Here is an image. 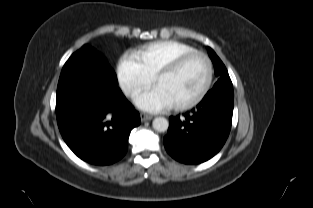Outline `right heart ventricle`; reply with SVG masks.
<instances>
[{
    "label": "right heart ventricle",
    "mask_w": 313,
    "mask_h": 208,
    "mask_svg": "<svg viewBox=\"0 0 313 208\" xmlns=\"http://www.w3.org/2000/svg\"><path fill=\"white\" fill-rule=\"evenodd\" d=\"M192 51H196V48L190 44L177 40H163L143 46L135 55L142 65L155 75L180 55Z\"/></svg>",
    "instance_id": "1"
}]
</instances>
